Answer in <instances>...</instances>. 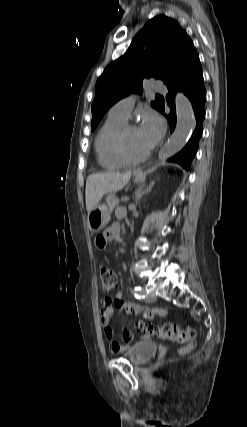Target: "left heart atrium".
I'll use <instances>...</instances> for the list:
<instances>
[{
	"instance_id": "39dd6f15",
	"label": "left heart atrium",
	"mask_w": 247,
	"mask_h": 427,
	"mask_svg": "<svg viewBox=\"0 0 247 427\" xmlns=\"http://www.w3.org/2000/svg\"><path fill=\"white\" fill-rule=\"evenodd\" d=\"M138 129L151 148L162 138L165 125L159 116L153 113H147L144 115L143 121Z\"/></svg>"
}]
</instances>
